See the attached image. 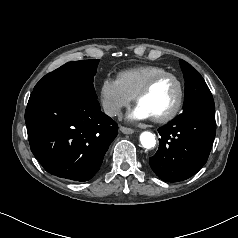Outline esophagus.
<instances>
[{"instance_id":"34e87169","label":"esophagus","mask_w":238,"mask_h":238,"mask_svg":"<svg viewBox=\"0 0 238 238\" xmlns=\"http://www.w3.org/2000/svg\"><path fill=\"white\" fill-rule=\"evenodd\" d=\"M119 130L124 134H132L134 133V130L128 127L120 126Z\"/></svg>"}]
</instances>
